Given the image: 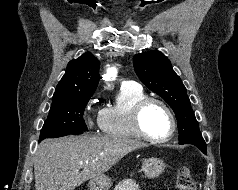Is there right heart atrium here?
Here are the masks:
<instances>
[{
  "mask_svg": "<svg viewBox=\"0 0 238 190\" xmlns=\"http://www.w3.org/2000/svg\"><path fill=\"white\" fill-rule=\"evenodd\" d=\"M96 100H92L87 108V114H86V122L90 128H93L95 125L100 124V113L101 111H98L97 113L93 114V103H95Z\"/></svg>",
  "mask_w": 238,
  "mask_h": 190,
  "instance_id": "obj_1",
  "label": "right heart atrium"
}]
</instances>
